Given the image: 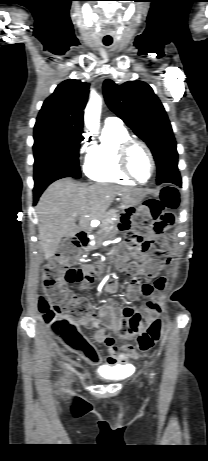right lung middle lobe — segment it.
<instances>
[{
  "mask_svg": "<svg viewBox=\"0 0 208 461\" xmlns=\"http://www.w3.org/2000/svg\"><path fill=\"white\" fill-rule=\"evenodd\" d=\"M82 133L56 122L36 121L33 145L35 182L56 173L80 178L78 156Z\"/></svg>",
  "mask_w": 208,
  "mask_h": 461,
  "instance_id": "obj_1",
  "label": "right lung middle lobe"
}]
</instances>
